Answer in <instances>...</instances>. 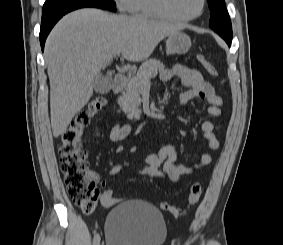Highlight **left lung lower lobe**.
Segmentation results:
<instances>
[{"instance_id": "0a47b994", "label": "left lung lower lobe", "mask_w": 283, "mask_h": 245, "mask_svg": "<svg viewBox=\"0 0 283 245\" xmlns=\"http://www.w3.org/2000/svg\"><path fill=\"white\" fill-rule=\"evenodd\" d=\"M226 42H227V44L229 45V46H231V41H232V39H224Z\"/></svg>"}]
</instances>
